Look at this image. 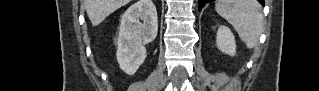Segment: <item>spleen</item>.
Instances as JSON below:
<instances>
[{
	"label": "spleen",
	"mask_w": 319,
	"mask_h": 91,
	"mask_svg": "<svg viewBox=\"0 0 319 91\" xmlns=\"http://www.w3.org/2000/svg\"><path fill=\"white\" fill-rule=\"evenodd\" d=\"M216 12L227 20L252 49L263 31V14L256 0H219L215 5Z\"/></svg>",
	"instance_id": "obj_1"
}]
</instances>
